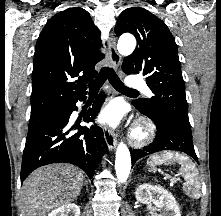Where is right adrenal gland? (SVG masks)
Listing matches in <instances>:
<instances>
[{"label": "right adrenal gland", "mask_w": 221, "mask_h": 216, "mask_svg": "<svg viewBox=\"0 0 221 216\" xmlns=\"http://www.w3.org/2000/svg\"><path fill=\"white\" fill-rule=\"evenodd\" d=\"M84 185L86 186V191L88 192V191H89V189H88V184H87V182H86V181H85Z\"/></svg>", "instance_id": "2a0ac1e0"}]
</instances>
